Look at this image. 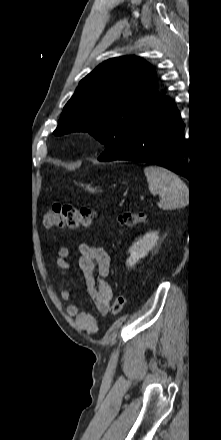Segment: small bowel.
I'll list each match as a JSON object with an SVG mask.
<instances>
[{
    "mask_svg": "<svg viewBox=\"0 0 221 440\" xmlns=\"http://www.w3.org/2000/svg\"><path fill=\"white\" fill-rule=\"evenodd\" d=\"M78 266L84 278L85 291L91 298L100 317L109 313L110 302L113 298L112 288L107 281L110 271V257L102 247L92 246L87 243L79 245ZM70 251L67 246H61L58 251L56 265L62 270H70L68 261ZM63 300L71 298L69 290H61ZM67 314L74 316L77 325L88 334H94L98 330V319L93 314L80 311L77 305L70 304L66 308Z\"/></svg>",
    "mask_w": 221,
    "mask_h": 440,
    "instance_id": "obj_1",
    "label": "small bowel"
}]
</instances>
